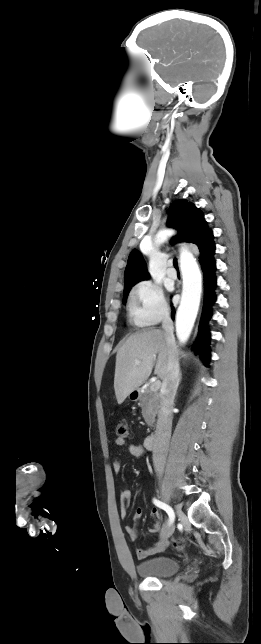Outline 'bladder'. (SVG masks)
<instances>
[{"label": "bladder", "instance_id": "bladder-1", "mask_svg": "<svg viewBox=\"0 0 261 644\" xmlns=\"http://www.w3.org/2000/svg\"><path fill=\"white\" fill-rule=\"evenodd\" d=\"M179 569L178 561L166 556L153 557L136 565L137 573L143 577H169L176 574Z\"/></svg>", "mask_w": 261, "mask_h": 644}]
</instances>
